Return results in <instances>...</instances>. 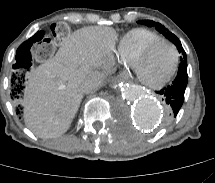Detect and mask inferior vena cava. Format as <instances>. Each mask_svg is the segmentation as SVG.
<instances>
[{"label": "inferior vena cava", "mask_w": 215, "mask_h": 183, "mask_svg": "<svg viewBox=\"0 0 215 183\" xmlns=\"http://www.w3.org/2000/svg\"><path fill=\"white\" fill-rule=\"evenodd\" d=\"M102 81L103 79L97 81H85L81 84L80 89L82 93L85 94L95 92L101 85Z\"/></svg>", "instance_id": "602c4592"}]
</instances>
